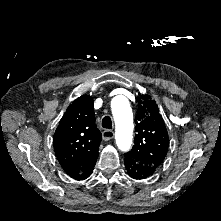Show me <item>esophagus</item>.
<instances>
[{"mask_svg": "<svg viewBox=\"0 0 221 221\" xmlns=\"http://www.w3.org/2000/svg\"><path fill=\"white\" fill-rule=\"evenodd\" d=\"M102 137L105 141H108L114 137V132L112 130H104Z\"/></svg>", "mask_w": 221, "mask_h": 221, "instance_id": "34e87169", "label": "esophagus"}]
</instances>
